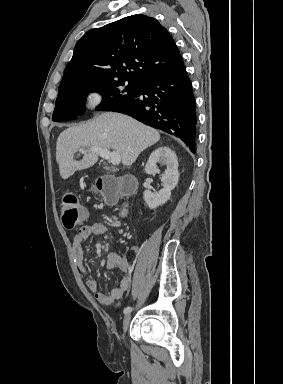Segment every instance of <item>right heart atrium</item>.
I'll use <instances>...</instances> for the list:
<instances>
[{
	"label": "right heart atrium",
	"mask_w": 283,
	"mask_h": 384,
	"mask_svg": "<svg viewBox=\"0 0 283 384\" xmlns=\"http://www.w3.org/2000/svg\"><path fill=\"white\" fill-rule=\"evenodd\" d=\"M105 98L104 90L97 85H90L83 89V106L87 110H94L99 107Z\"/></svg>",
	"instance_id": "right-heart-atrium-1"
}]
</instances>
